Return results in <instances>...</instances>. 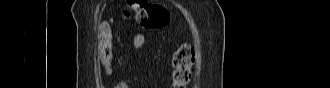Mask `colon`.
Returning a JSON list of instances; mask_svg holds the SVG:
<instances>
[{
  "label": "colon",
  "instance_id": "obj_1",
  "mask_svg": "<svg viewBox=\"0 0 330 88\" xmlns=\"http://www.w3.org/2000/svg\"><path fill=\"white\" fill-rule=\"evenodd\" d=\"M133 13L135 20L145 29H157L167 24V14L164 9L146 0H133L123 10V16L128 18ZM100 55L107 70L110 69L112 47L109 38L105 36L100 46ZM195 63L194 49L190 45L179 46L171 59L172 87L186 88L191 81Z\"/></svg>",
  "mask_w": 330,
  "mask_h": 88
}]
</instances>
